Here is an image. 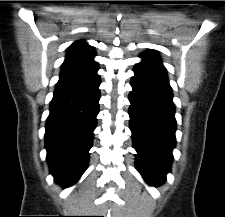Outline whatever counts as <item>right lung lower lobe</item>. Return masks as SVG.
<instances>
[{"label":"right lung lower lobe","instance_id":"right-lung-lower-lobe-1","mask_svg":"<svg viewBox=\"0 0 225 217\" xmlns=\"http://www.w3.org/2000/svg\"><path fill=\"white\" fill-rule=\"evenodd\" d=\"M100 77L57 85L46 122L45 148L54 180L64 187L85 172L99 112Z\"/></svg>","mask_w":225,"mask_h":217}]
</instances>
